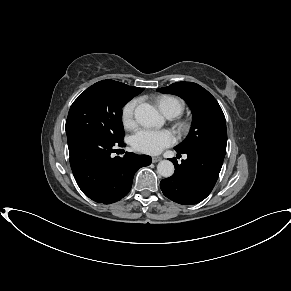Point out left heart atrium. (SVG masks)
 I'll return each instance as SVG.
<instances>
[{
  "label": "left heart atrium",
  "instance_id": "obj_1",
  "mask_svg": "<svg viewBox=\"0 0 291 291\" xmlns=\"http://www.w3.org/2000/svg\"><path fill=\"white\" fill-rule=\"evenodd\" d=\"M175 141V135L169 130L140 129L131 137L132 147L147 154H158Z\"/></svg>",
  "mask_w": 291,
  "mask_h": 291
}]
</instances>
